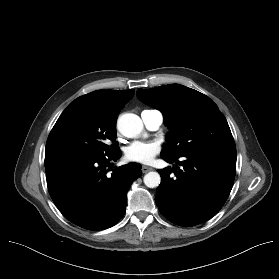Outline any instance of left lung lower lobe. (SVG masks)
<instances>
[{
    "label": "left lung lower lobe",
    "instance_id": "left-lung-lower-lobe-1",
    "mask_svg": "<svg viewBox=\"0 0 279 279\" xmlns=\"http://www.w3.org/2000/svg\"><path fill=\"white\" fill-rule=\"evenodd\" d=\"M162 158L181 167L158 171L161 183L155 199L160 212L180 226L198 225L217 214L234 183L236 149L212 148L189 152L180 159Z\"/></svg>",
    "mask_w": 279,
    "mask_h": 279
}]
</instances>
